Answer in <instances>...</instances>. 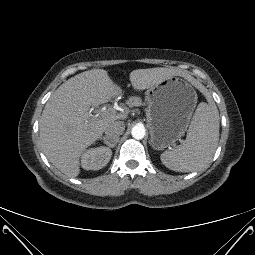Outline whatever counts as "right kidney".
I'll return each instance as SVG.
<instances>
[{
    "instance_id": "ca27d5eb",
    "label": "right kidney",
    "mask_w": 255,
    "mask_h": 255,
    "mask_svg": "<svg viewBox=\"0 0 255 255\" xmlns=\"http://www.w3.org/2000/svg\"><path fill=\"white\" fill-rule=\"evenodd\" d=\"M112 152L106 147L91 148L83 153L81 165L85 170H99L107 165Z\"/></svg>"
}]
</instances>
